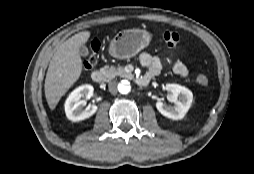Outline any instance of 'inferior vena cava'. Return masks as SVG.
Wrapping results in <instances>:
<instances>
[{"label":"inferior vena cava","instance_id":"inferior-vena-cava-1","mask_svg":"<svg viewBox=\"0 0 254 174\" xmlns=\"http://www.w3.org/2000/svg\"><path fill=\"white\" fill-rule=\"evenodd\" d=\"M108 88L111 94L117 93V82L116 81H110L108 84Z\"/></svg>","mask_w":254,"mask_h":174}]
</instances>
